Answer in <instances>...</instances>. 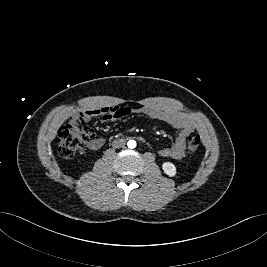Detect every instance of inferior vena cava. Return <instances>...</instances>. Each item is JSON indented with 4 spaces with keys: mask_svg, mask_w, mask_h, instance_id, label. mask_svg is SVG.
Returning <instances> with one entry per match:
<instances>
[{
    "mask_svg": "<svg viewBox=\"0 0 267 267\" xmlns=\"http://www.w3.org/2000/svg\"><path fill=\"white\" fill-rule=\"evenodd\" d=\"M125 143H126L125 139H116L113 141L112 146L114 148H121L124 147Z\"/></svg>",
    "mask_w": 267,
    "mask_h": 267,
    "instance_id": "obj_1",
    "label": "inferior vena cava"
}]
</instances>
